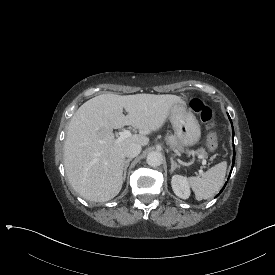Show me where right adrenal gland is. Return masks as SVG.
<instances>
[{
	"instance_id": "obj_1",
	"label": "right adrenal gland",
	"mask_w": 275,
	"mask_h": 275,
	"mask_svg": "<svg viewBox=\"0 0 275 275\" xmlns=\"http://www.w3.org/2000/svg\"><path fill=\"white\" fill-rule=\"evenodd\" d=\"M131 160H132V158H128V159L125 161V164H124V167H123V178H122L123 181H125L127 168H128V166H129V162H130Z\"/></svg>"
}]
</instances>
